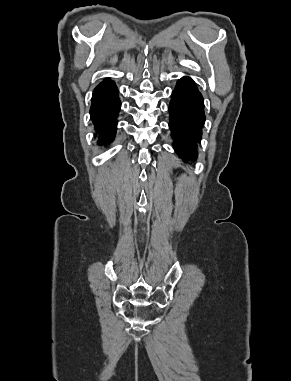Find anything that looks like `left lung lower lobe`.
Masks as SVG:
<instances>
[{
  "instance_id": "obj_1",
  "label": "left lung lower lobe",
  "mask_w": 291,
  "mask_h": 381,
  "mask_svg": "<svg viewBox=\"0 0 291 381\" xmlns=\"http://www.w3.org/2000/svg\"><path fill=\"white\" fill-rule=\"evenodd\" d=\"M171 135L174 148L185 161L197 158L205 122L204 100L190 77L178 80L169 106Z\"/></svg>"
}]
</instances>
